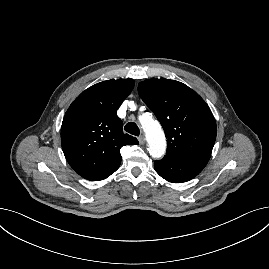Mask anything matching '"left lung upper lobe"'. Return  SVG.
<instances>
[{
	"mask_svg": "<svg viewBox=\"0 0 269 269\" xmlns=\"http://www.w3.org/2000/svg\"><path fill=\"white\" fill-rule=\"evenodd\" d=\"M138 92L165 131L167 153L209 160L216 122L205 101L187 85L168 79L140 82Z\"/></svg>",
	"mask_w": 269,
	"mask_h": 269,
	"instance_id": "left-lung-upper-lobe-1",
	"label": "left lung upper lobe"
}]
</instances>
